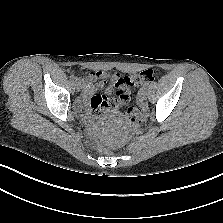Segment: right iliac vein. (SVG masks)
I'll list each match as a JSON object with an SVG mask.
<instances>
[{"mask_svg":"<svg viewBox=\"0 0 223 223\" xmlns=\"http://www.w3.org/2000/svg\"><path fill=\"white\" fill-rule=\"evenodd\" d=\"M77 89L80 90L81 89V82H77Z\"/></svg>","mask_w":223,"mask_h":223,"instance_id":"1","label":"right iliac vein"}]
</instances>
